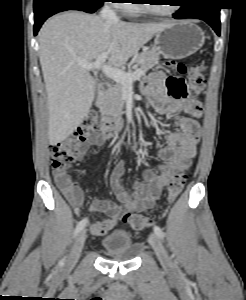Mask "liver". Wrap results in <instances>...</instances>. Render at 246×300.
I'll use <instances>...</instances> for the list:
<instances>
[{"instance_id": "obj_1", "label": "liver", "mask_w": 246, "mask_h": 300, "mask_svg": "<svg viewBox=\"0 0 246 300\" xmlns=\"http://www.w3.org/2000/svg\"><path fill=\"white\" fill-rule=\"evenodd\" d=\"M167 23L109 22L76 11L56 15L39 32V59L48 110V137L56 145L83 122L95 96V81L78 61L93 62L108 52L115 68L124 65Z\"/></svg>"}]
</instances>
